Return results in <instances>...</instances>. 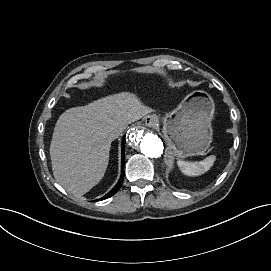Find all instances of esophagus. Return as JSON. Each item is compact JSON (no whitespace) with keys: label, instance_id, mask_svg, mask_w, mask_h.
Segmentation results:
<instances>
[{"label":"esophagus","instance_id":"obj_1","mask_svg":"<svg viewBox=\"0 0 271 271\" xmlns=\"http://www.w3.org/2000/svg\"><path fill=\"white\" fill-rule=\"evenodd\" d=\"M158 122L159 120L156 114H151L145 117V124L150 128H154Z\"/></svg>","mask_w":271,"mask_h":271}]
</instances>
